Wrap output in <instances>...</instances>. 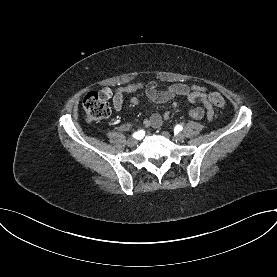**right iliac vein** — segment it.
Instances as JSON below:
<instances>
[{
    "instance_id": "obj_1",
    "label": "right iliac vein",
    "mask_w": 277,
    "mask_h": 277,
    "mask_svg": "<svg viewBox=\"0 0 277 277\" xmlns=\"http://www.w3.org/2000/svg\"><path fill=\"white\" fill-rule=\"evenodd\" d=\"M137 139H135V138H130V139H128V141H127V145L129 146V147H133V146H135L136 144H137Z\"/></svg>"
}]
</instances>
